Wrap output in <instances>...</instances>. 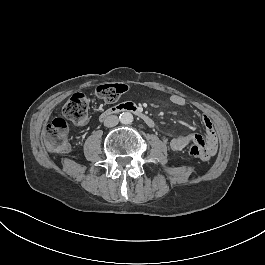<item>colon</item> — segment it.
<instances>
[{"label": "colon", "mask_w": 265, "mask_h": 265, "mask_svg": "<svg viewBox=\"0 0 265 265\" xmlns=\"http://www.w3.org/2000/svg\"><path fill=\"white\" fill-rule=\"evenodd\" d=\"M128 90L124 84H107L102 85L98 90V96L106 102L117 101ZM89 103L84 94H73L63 106L64 117L53 119L43 130L42 140L44 147L49 152L65 153L70 148L68 121L71 120L75 124L85 125L88 123L90 116L88 113ZM200 147L196 146L193 141L189 143L188 151L194 157Z\"/></svg>", "instance_id": "1"}]
</instances>
